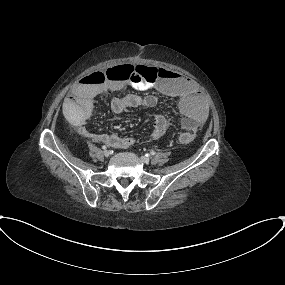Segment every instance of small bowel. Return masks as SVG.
Segmentation results:
<instances>
[{
    "label": "small bowel",
    "mask_w": 285,
    "mask_h": 285,
    "mask_svg": "<svg viewBox=\"0 0 285 285\" xmlns=\"http://www.w3.org/2000/svg\"><path fill=\"white\" fill-rule=\"evenodd\" d=\"M114 66L111 68L120 67ZM105 72V71H102ZM129 85L136 86L139 90H156L160 94L175 99L181 113V127L187 133H194L205 123L207 110L205 103L193 82L177 71L166 69L159 70V78L153 82L143 79L140 83H133L123 79H108L104 84H92L80 80L73 93L67 96L62 104V110L66 119L78 128L84 136L107 143L113 148H127L131 145L151 141L163 136L170 127L169 121L161 114L153 116V131L145 137H121L118 135L94 134L89 132L84 123L88 120L93 110V100L108 91H121ZM158 97L154 94L145 95L128 94L113 99L111 107L114 112L121 113L127 108L155 107Z\"/></svg>",
    "instance_id": "obj_1"
}]
</instances>
